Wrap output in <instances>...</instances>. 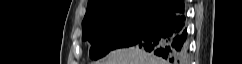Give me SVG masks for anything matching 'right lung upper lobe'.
I'll list each match as a JSON object with an SVG mask.
<instances>
[{
    "label": "right lung upper lobe",
    "instance_id": "right-lung-upper-lobe-1",
    "mask_svg": "<svg viewBox=\"0 0 242 64\" xmlns=\"http://www.w3.org/2000/svg\"><path fill=\"white\" fill-rule=\"evenodd\" d=\"M173 1L174 0H89L83 25L107 14L135 9H147L162 14L168 10Z\"/></svg>",
    "mask_w": 242,
    "mask_h": 64
}]
</instances>
